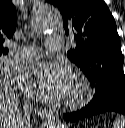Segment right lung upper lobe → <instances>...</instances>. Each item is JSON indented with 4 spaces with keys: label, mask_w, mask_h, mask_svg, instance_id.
<instances>
[{
    "label": "right lung upper lobe",
    "mask_w": 125,
    "mask_h": 128,
    "mask_svg": "<svg viewBox=\"0 0 125 128\" xmlns=\"http://www.w3.org/2000/svg\"><path fill=\"white\" fill-rule=\"evenodd\" d=\"M17 25V12L11 0H0V56L7 53L3 42L13 36Z\"/></svg>",
    "instance_id": "right-lung-upper-lobe-1"
}]
</instances>
